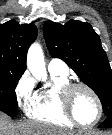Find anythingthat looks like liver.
Instances as JSON below:
<instances>
[{
    "label": "liver",
    "instance_id": "1",
    "mask_svg": "<svg viewBox=\"0 0 112 135\" xmlns=\"http://www.w3.org/2000/svg\"><path fill=\"white\" fill-rule=\"evenodd\" d=\"M0 135H73V133L39 122L14 123L6 114L0 112Z\"/></svg>",
    "mask_w": 112,
    "mask_h": 135
}]
</instances>
